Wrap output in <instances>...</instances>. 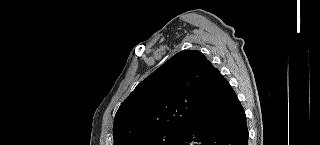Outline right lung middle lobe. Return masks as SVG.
<instances>
[{
  "mask_svg": "<svg viewBox=\"0 0 320 145\" xmlns=\"http://www.w3.org/2000/svg\"><path fill=\"white\" fill-rule=\"evenodd\" d=\"M184 128L162 129L139 138L131 145H172L183 133Z\"/></svg>",
  "mask_w": 320,
  "mask_h": 145,
  "instance_id": "1",
  "label": "right lung middle lobe"
}]
</instances>
